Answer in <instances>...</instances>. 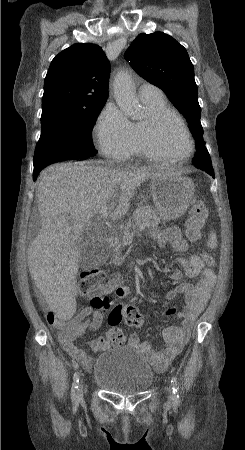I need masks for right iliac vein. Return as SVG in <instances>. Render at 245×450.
Here are the masks:
<instances>
[{"mask_svg":"<svg viewBox=\"0 0 245 450\" xmlns=\"http://www.w3.org/2000/svg\"><path fill=\"white\" fill-rule=\"evenodd\" d=\"M86 391H87L86 385L84 384V382H80L78 389V398L82 399Z\"/></svg>","mask_w":245,"mask_h":450,"instance_id":"63e3f726","label":"right iliac vein"}]
</instances>
